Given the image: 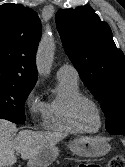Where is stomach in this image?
<instances>
[{
  "instance_id": "1",
  "label": "stomach",
  "mask_w": 125,
  "mask_h": 167,
  "mask_svg": "<svg viewBox=\"0 0 125 167\" xmlns=\"http://www.w3.org/2000/svg\"><path fill=\"white\" fill-rule=\"evenodd\" d=\"M110 145L99 137H81L69 143V149L73 155L80 157H100L110 151ZM59 150L56 146L43 149L38 155L32 157L28 167H48L58 157Z\"/></svg>"
}]
</instances>
